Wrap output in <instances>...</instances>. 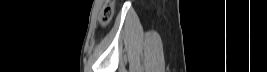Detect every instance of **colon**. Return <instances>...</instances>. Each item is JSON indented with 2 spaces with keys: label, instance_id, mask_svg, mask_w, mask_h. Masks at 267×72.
I'll return each instance as SVG.
<instances>
[{
  "label": "colon",
  "instance_id": "5ec220e1",
  "mask_svg": "<svg viewBox=\"0 0 267 72\" xmlns=\"http://www.w3.org/2000/svg\"><path fill=\"white\" fill-rule=\"evenodd\" d=\"M113 15V7L112 6H106L101 15V20L103 24H106L110 21Z\"/></svg>",
  "mask_w": 267,
  "mask_h": 72
}]
</instances>
